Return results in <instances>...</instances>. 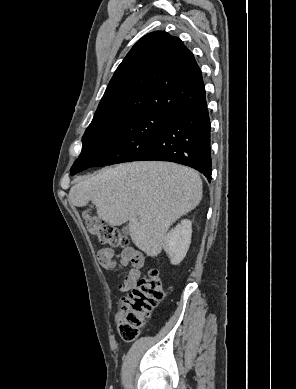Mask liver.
<instances>
[{"mask_svg":"<svg viewBox=\"0 0 296 389\" xmlns=\"http://www.w3.org/2000/svg\"><path fill=\"white\" fill-rule=\"evenodd\" d=\"M77 207L91 201L110 226L129 221V234L147 256H157L169 227L202 199L199 174L171 162L141 161L107 167L69 191Z\"/></svg>","mask_w":296,"mask_h":389,"instance_id":"6515ba94","label":"liver"}]
</instances>
